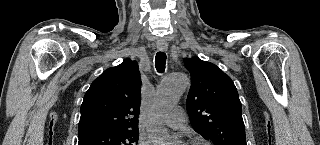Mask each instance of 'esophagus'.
<instances>
[{"mask_svg": "<svg viewBox=\"0 0 320 145\" xmlns=\"http://www.w3.org/2000/svg\"><path fill=\"white\" fill-rule=\"evenodd\" d=\"M156 45H157V48H158L159 50H161V51H166V50L168 49V44H167V42H166L165 40H163V39L157 40Z\"/></svg>", "mask_w": 320, "mask_h": 145, "instance_id": "esophagus-1", "label": "esophagus"}]
</instances>
